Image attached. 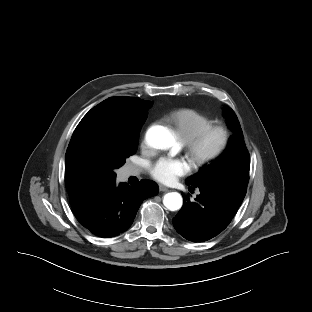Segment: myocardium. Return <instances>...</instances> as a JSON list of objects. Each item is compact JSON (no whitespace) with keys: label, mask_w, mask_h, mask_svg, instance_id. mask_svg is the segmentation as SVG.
<instances>
[{"label":"myocardium","mask_w":312,"mask_h":312,"mask_svg":"<svg viewBox=\"0 0 312 312\" xmlns=\"http://www.w3.org/2000/svg\"><path fill=\"white\" fill-rule=\"evenodd\" d=\"M214 136L218 139L216 145L206 149L208 140ZM230 138L229 128L222 123H216L209 125L184 143L193 162L203 166L215 161L226 151Z\"/></svg>","instance_id":"f54148a6"}]
</instances>
